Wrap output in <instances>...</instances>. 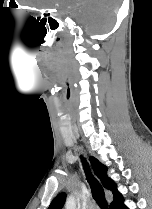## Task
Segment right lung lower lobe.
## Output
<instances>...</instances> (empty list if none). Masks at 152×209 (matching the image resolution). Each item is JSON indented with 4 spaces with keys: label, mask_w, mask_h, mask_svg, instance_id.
Returning a JSON list of instances; mask_svg holds the SVG:
<instances>
[{
    "label": "right lung lower lobe",
    "mask_w": 152,
    "mask_h": 209,
    "mask_svg": "<svg viewBox=\"0 0 152 209\" xmlns=\"http://www.w3.org/2000/svg\"><path fill=\"white\" fill-rule=\"evenodd\" d=\"M113 197L114 199L110 204V209H128L124 204V198L118 190L113 194Z\"/></svg>",
    "instance_id": "obj_1"
}]
</instances>
